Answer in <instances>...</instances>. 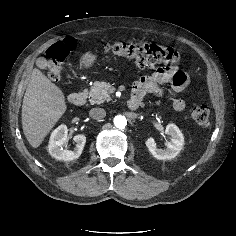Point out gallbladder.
Masks as SVG:
<instances>
[{"mask_svg":"<svg viewBox=\"0 0 236 236\" xmlns=\"http://www.w3.org/2000/svg\"><path fill=\"white\" fill-rule=\"evenodd\" d=\"M46 64H47V61L44 58H39L37 60V65L42 69L46 67Z\"/></svg>","mask_w":236,"mask_h":236,"instance_id":"1","label":"gallbladder"}]
</instances>
